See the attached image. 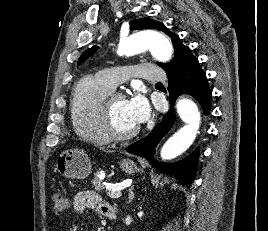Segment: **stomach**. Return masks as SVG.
<instances>
[{"instance_id":"stomach-1","label":"stomach","mask_w":268,"mask_h":231,"mask_svg":"<svg viewBox=\"0 0 268 231\" xmlns=\"http://www.w3.org/2000/svg\"><path fill=\"white\" fill-rule=\"evenodd\" d=\"M120 168L127 174H134L142 170L129 159L121 160ZM91 169L92 165L88 155L77 148L65 150L56 162V170L66 178L85 179L91 173Z\"/></svg>"}]
</instances>
